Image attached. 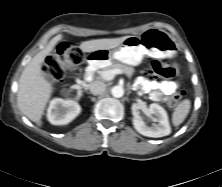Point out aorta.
<instances>
[{
	"instance_id": "1",
	"label": "aorta",
	"mask_w": 222,
	"mask_h": 187,
	"mask_svg": "<svg viewBox=\"0 0 222 187\" xmlns=\"http://www.w3.org/2000/svg\"><path fill=\"white\" fill-rule=\"evenodd\" d=\"M111 94L113 97L115 98H121L123 95H124V89L123 87L117 85V86H114L112 89H111Z\"/></svg>"
}]
</instances>
